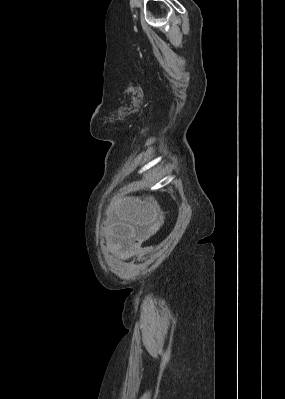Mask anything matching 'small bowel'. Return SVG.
I'll return each instance as SVG.
<instances>
[{
    "label": "small bowel",
    "mask_w": 285,
    "mask_h": 399,
    "mask_svg": "<svg viewBox=\"0 0 285 399\" xmlns=\"http://www.w3.org/2000/svg\"><path fill=\"white\" fill-rule=\"evenodd\" d=\"M135 221L142 226L141 235L143 237H148L152 234L154 230V219L150 214V211L146 204H142L136 217Z\"/></svg>",
    "instance_id": "1"
}]
</instances>
